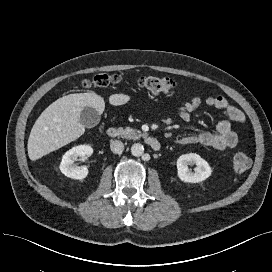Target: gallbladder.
Segmentation results:
<instances>
[{"label":"gallbladder","instance_id":"gallbladder-1","mask_svg":"<svg viewBox=\"0 0 272 272\" xmlns=\"http://www.w3.org/2000/svg\"><path fill=\"white\" fill-rule=\"evenodd\" d=\"M80 122L86 128H93L100 122V114L93 107L86 106L81 112Z\"/></svg>","mask_w":272,"mask_h":272}]
</instances>
